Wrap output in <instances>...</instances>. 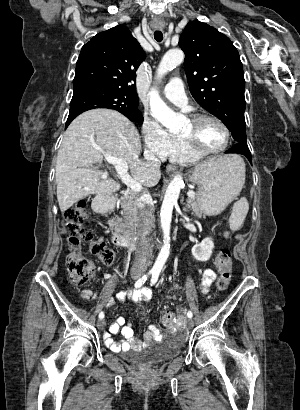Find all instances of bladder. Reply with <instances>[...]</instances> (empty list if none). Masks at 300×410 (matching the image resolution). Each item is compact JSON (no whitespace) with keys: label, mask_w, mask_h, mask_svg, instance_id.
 <instances>
[{"label":"bladder","mask_w":300,"mask_h":410,"mask_svg":"<svg viewBox=\"0 0 300 410\" xmlns=\"http://www.w3.org/2000/svg\"><path fill=\"white\" fill-rule=\"evenodd\" d=\"M181 346L173 342L155 343L142 350L125 352L124 356L130 362L139 366H152L180 354Z\"/></svg>","instance_id":"1"}]
</instances>
